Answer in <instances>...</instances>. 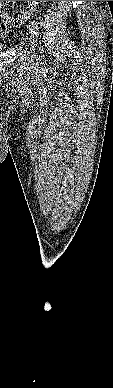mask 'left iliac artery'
I'll return each mask as SVG.
<instances>
[{
  "instance_id": "1",
  "label": "left iliac artery",
  "mask_w": 113,
  "mask_h": 388,
  "mask_svg": "<svg viewBox=\"0 0 113 388\" xmlns=\"http://www.w3.org/2000/svg\"><path fill=\"white\" fill-rule=\"evenodd\" d=\"M29 27H30V30H31V32L33 33V35H34L35 37H38V35H39V26H38V23H37L36 21L33 20V21L30 22Z\"/></svg>"
}]
</instances>
